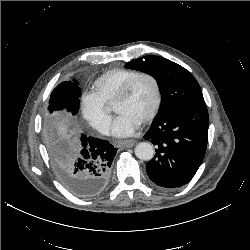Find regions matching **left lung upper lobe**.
Returning <instances> with one entry per match:
<instances>
[{
    "instance_id": "1",
    "label": "left lung upper lobe",
    "mask_w": 250,
    "mask_h": 250,
    "mask_svg": "<svg viewBox=\"0 0 250 250\" xmlns=\"http://www.w3.org/2000/svg\"><path fill=\"white\" fill-rule=\"evenodd\" d=\"M152 75L161 92V104L154 120L162 119L184 106L204 102L194 76L182 66L160 56H145L125 65Z\"/></svg>"
}]
</instances>
